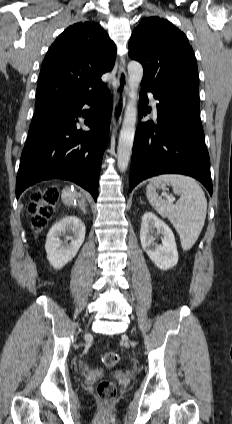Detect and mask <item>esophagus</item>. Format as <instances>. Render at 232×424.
<instances>
[{
    "mask_svg": "<svg viewBox=\"0 0 232 424\" xmlns=\"http://www.w3.org/2000/svg\"><path fill=\"white\" fill-rule=\"evenodd\" d=\"M126 63L124 57L119 59V71H118V82L114 90V103H113V112L111 119V129H118L123 111L126 105L127 93H128V76L126 72Z\"/></svg>",
    "mask_w": 232,
    "mask_h": 424,
    "instance_id": "esophagus-1",
    "label": "esophagus"
}]
</instances>
